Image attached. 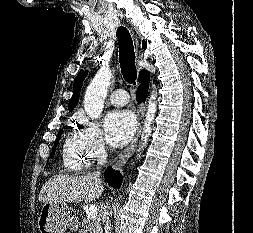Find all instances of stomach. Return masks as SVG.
I'll use <instances>...</instances> for the list:
<instances>
[{
	"label": "stomach",
	"instance_id": "stomach-1",
	"mask_svg": "<svg viewBox=\"0 0 253 233\" xmlns=\"http://www.w3.org/2000/svg\"><path fill=\"white\" fill-rule=\"evenodd\" d=\"M73 221L66 203L45 202L38 219L40 233H64Z\"/></svg>",
	"mask_w": 253,
	"mask_h": 233
}]
</instances>
